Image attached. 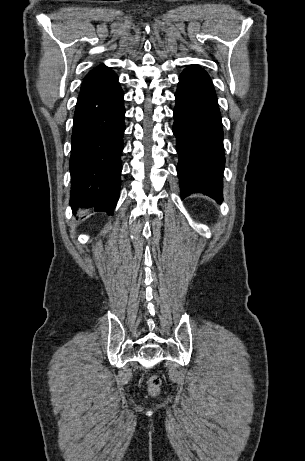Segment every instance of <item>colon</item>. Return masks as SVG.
Returning <instances> with one entry per match:
<instances>
[{"mask_svg": "<svg viewBox=\"0 0 305 461\" xmlns=\"http://www.w3.org/2000/svg\"><path fill=\"white\" fill-rule=\"evenodd\" d=\"M149 391L152 395H156L159 391L161 380L157 375H151L147 380Z\"/></svg>", "mask_w": 305, "mask_h": 461, "instance_id": "5ec220e1", "label": "colon"}]
</instances>
